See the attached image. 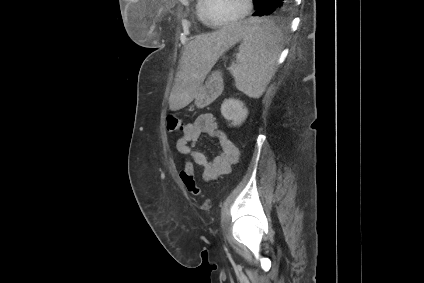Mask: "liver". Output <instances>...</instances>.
<instances>
[{
  "mask_svg": "<svg viewBox=\"0 0 424 283\" xmlns=\"http://www.w3.org/2000/svg\"><path fill=\"white\" fill-rule=\"evenodd\" d=\"M246 32L245 22L231 23L214 32L198 35L185 45L180 71L169 97L171 110H180L194 99L218 58L240 41Z\"/></svg>",
  "mask_w": 424,
  "mask_h": 283,
  "instance_id": "1",
  "label": "liver"
}]
</instances>
